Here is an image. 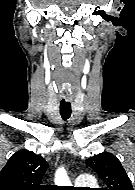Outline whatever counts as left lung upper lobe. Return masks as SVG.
Segmentation results:
<instances>
[{
    "label": "left lung upper lobe",
    "mask_w": 135,
    "mask_h": 190,
    "mask_svg": "<svg viewBox=\"0 0 135 190\" xmlns=\"http://www.w3.org/2000/svg\"><path fill=\"white\" fill-rule=\"evenodd\" d=\"M86 162L107 185L104 190H133L127 173L113 154L100 153L90 157Z\"/></svg>",
    "instance_id": "1"
}]
</instances>
